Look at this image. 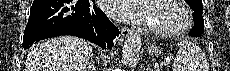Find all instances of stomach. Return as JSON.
<instances>
[{"label": "stomach", "instance_id": "obj_1", "mask_svg": "<svg viewBox=\"0 0 230 71\" xmlns=\"http://www.w3.org/2000/svg\"><path fill=\"white\" fill-rule=\"evenodd\" d=\"M148 52L150 56H157L159 54V49L156 46H151L148 48Z\"/></svg>", "mask_w": 230, "mask_h": 71}]
</instances>
